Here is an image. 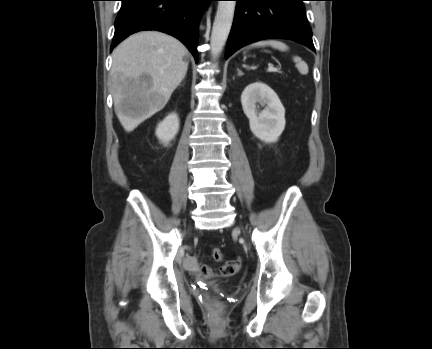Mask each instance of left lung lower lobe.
I'll use <instances>...</instances> for the list:
<instances>
[{
    "label": "left lung lower lobe",
    "instance_id": "left-lung-lower-lobe-1",
    "mask_svg": "<svg viewBox=\"0 0 432 349\" xmlns=\"http://www.w3.org/2000/svg\"><path fill=\"white\" fill-rule=\"evenodd\" d=\"M234 22L225 58L243 46L263 39L293 40L315 51L304 0H236Z\"/></svg>",
    "mask_w": 432,
    "mask_h": 349
}]
</instances>
